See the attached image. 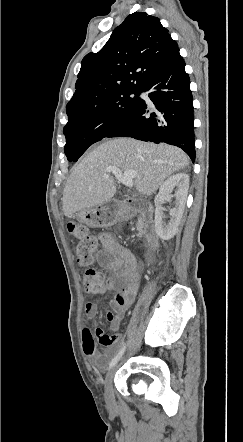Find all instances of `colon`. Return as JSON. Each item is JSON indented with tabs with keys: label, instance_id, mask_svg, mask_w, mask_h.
<instances>
[{
	"label": "colon",
	"instance_id": "1",
	"mask_svg": "<svg viewBox=\"0 0 243 442\" xmlns=\"http://www.w3.org/2000/svg\"><path fill=\"white\" fill-rule=\"evenodd\" d=\"M143 209H149L144 204ZM68 232L78 241L76 254L78 263L85 267L83 287L87 294L97 295L106 292L109 288V282L105 279L103 273L92 265L93 255L98 248V239L93 235L89 227L84 223L70 221L67 224Z\"/></svg>",
	"mask_w": 243,
	"mask_h": 442
}]
</instances>
